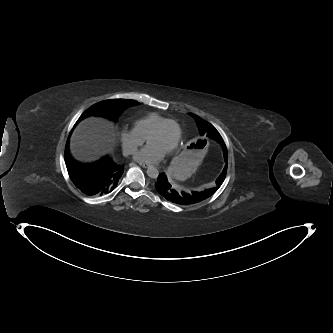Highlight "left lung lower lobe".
<instances>
[{"mask_svg": "<svg viewBox=\"0 0 333 333\" xmlns=\"http://www.w3.org/2000/svg\"><path fill=\"white\" fill-rule=\"evenodd\" d=\"M221 146H225L224 142L220 143ZM226 148V147H225ZM155 188L157 192L166 200L179 204V205H192L203 200H206L210 196H212L217 190L218 186L207 189L204 191H183L177 190L174 188L167 179L165 173H161L158 176V180L155 183Z\"/></svg>", "mask_w": 333, "mask_h": 333, "instance_id": "1", "label": "left lung lower lobe"}]
</instances>
